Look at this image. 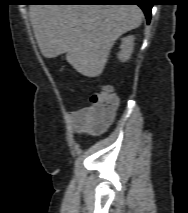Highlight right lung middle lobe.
Listing matches in <instances>:
<instances>
[{
	"label": "right lung middle lobe",
	"instance_id": "obj_1",
	"mask_svg": "<svg viewBox=\"0 0 188 213\" xmlns=\"http://www.w3.org/2000/svg\"><path fill=\"white\" fill-rule=\"evenodd\" d=\"M34 3H43L45 0H33Z\"/></svg>",
	"mask_w": 188,
	"mask_h": 213
}]
</instances>
